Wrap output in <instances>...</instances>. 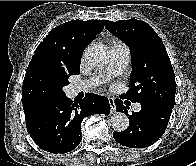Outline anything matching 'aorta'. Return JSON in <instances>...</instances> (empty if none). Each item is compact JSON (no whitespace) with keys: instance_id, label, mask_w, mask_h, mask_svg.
<instances>
[{"instance_id":"obj_1","label":"aorta","mask_w":196,"mask_h":166,"mask_svg":"<svg viewBox=\"0 0 196 166\" xmlns=\"http://www.w3.org/2000/svg\"><path fill=\"white\" fill-rule=\"evenodd\" d=\"M85 58L87 62L93 67H104L110 60V51L104 45L95 44L86 50ZM110 122L112 128L117 132H122L129 126L128 117L121 112L114 113Z\"/></svg>"}]
</instances>
